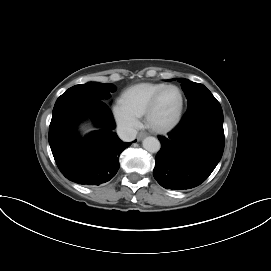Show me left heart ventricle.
Here are the masks:
<instances>
[{"mask_svg":"<svg viewBox=\"0 0 271 271\" xmlns=\"http://www.w3.org/2000/svg\"><path fill=\"white\" fill-rule=\"evenodd\" d=\"M180 105V96L177 90L168 89L164 92L153 115V121L158 125L170 122L176 115Z\"/></svg>","mask_w":271,"mask_h":271,"instance_id":"b2bd125f","label":"left heart ventricle"}]
</instances>
